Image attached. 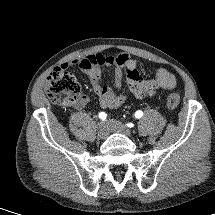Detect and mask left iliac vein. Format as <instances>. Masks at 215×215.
<instances>
[{"instance_id":"4c4485c4","label":"left iliac vein","mask_w":215,"mask_h":215,"mask_svg":"<svg viewBox=\"0 0 215 215\" xmlns=\"http://www.w3.org/2000/svg\"><path fill=\"white\" fill-rule=\"evenodd\" d=\"M106 123L107 124H113V123H117V121L116 120H111V119H109V120H106Z\"/></svg>"}]
</instances>
